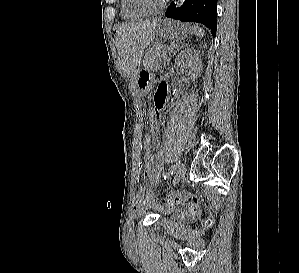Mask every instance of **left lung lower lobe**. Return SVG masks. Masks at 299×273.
Masks as SVG:
<instances>
[{
	"instance_id": "0a47b994",
	"label": "left lung lower lobe",
	"mask_w": 299,
	"mask_h": 273,
	"mask_svg": "<svg viewBox=\"0 0 299 273\" xmlns=\"http://www.w3.org/2000/svg\"><path fill=\"white\" fill-rule=\"evenodd\" d=\"M217 0H186L180 8L173 3L166 11L165 16L181 20L204 24L210 29L213 37L217 30Z\"/></svg>"
}]
</instances>
